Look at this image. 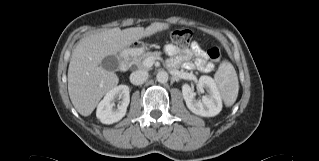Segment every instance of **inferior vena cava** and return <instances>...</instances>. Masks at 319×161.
<instances>
[{
  "instance_id": "obj_1",
  "label": "inferior vena cava",
  "mask_w": 319,
  "mask_h": 161,
  "mask_svg": "<svg viewBox=\"0 0 319 161\" xmlns=\"http://www.w3.org/2000/svg\"><path fill=\"white\" fill-rule=\"evenodd\" d=\"M148 78V72L144 70H137L130 75V82L134 85L143 84Z\"/></svg>"
}]
</instances>
